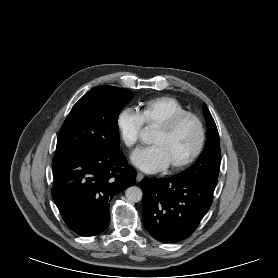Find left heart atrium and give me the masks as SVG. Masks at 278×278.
<instances>
[{"instance_id":"left-heart-atrium-1","label":"left heart atrium","mask_w":278,"mask_h":278,"mask_svg":"<svg viewBox=\"0 0 278 278\" xmlns=\"http://www.w3.org/2000/svg\"><path fill=\"white\" fill-rule=\"evenodd\" d=\"M131 159L139 169L147 173L160 172L169 166L163 149L156 144L136 150Z\"/></svg>"}]
</instances>
